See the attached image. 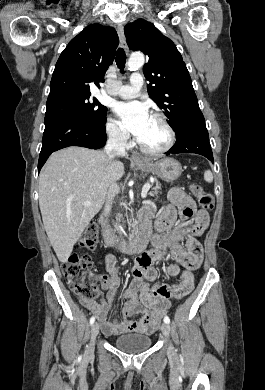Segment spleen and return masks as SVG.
<instances>
[{
  "instance_id": "1",
  "label": "spleen",
  "mask_w": 265,
  "mask_h": 390,
  "mask_svg": "<svg viewBox=\"0 0 265 390\" xmlns=\"http://www.w3.org/2000/svg\"><path fill=\"white\" fill-rule=\"evenodd\" d=\"M204 179L206 182L211 183L213 181V174L210 170H206L204 172Z\"/></svg>"
}]
</instances>
